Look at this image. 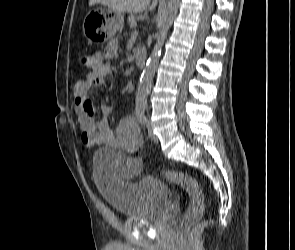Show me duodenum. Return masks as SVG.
<instances>
[{
	"label": "duodenum",
	"instance_id": "obj_1",
	"mask_svg": "<svg viewBox=\"0 0 295 250\" xmlns=\"http://www.w3.org/2000/svg\"><path fill=\"white\" fill-rule=\"evenodd\" d=\"M147 55L146 52L142 49H138L135 53V62L138 67L143 68L146 65Z\"/></svg>",
	"mask_w": 295,
	"mask_h": 250
}]
</instances>
